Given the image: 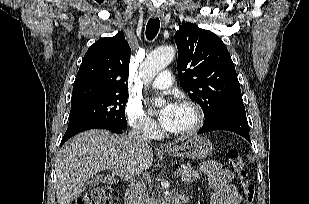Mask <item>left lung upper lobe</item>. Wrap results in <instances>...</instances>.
Instances as JSON below:
<instances>
[{
    "mask_svg": "<svg viewBox=\"0 0 309 204\" xmlns=\"http://www.w3.org/2000/svg\"><path fill=\"white\" fill-rule=\"evenodd\" d=\"M175 42L180 85L201 106L205 118L243 105L234 64L217 35L185 23L176 31Z\"/></svg>",
    "mask_w": 309,
    "mask_h": 204,
    "instance_id": "obj_1",
    "label": "left lung upper lobe"
}]
</instances>
